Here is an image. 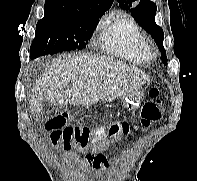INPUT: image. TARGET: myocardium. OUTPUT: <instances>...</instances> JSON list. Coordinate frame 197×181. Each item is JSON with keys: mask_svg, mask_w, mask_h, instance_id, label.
Returning a JSON list of instances; mask_svg holds the SVG:
<instances>
[{"mask_svg": "<svg viewBox=\"0 0 197 181\" xmlns=\"http://www.w3.org/2000/svg\"><path fill=\"white\" fill-rule=\"evenodd\" d=\"M147 50H148V55H149L150 59H152L156 56V52L148 45H147Z\"/></svg>", "mask_w": 197, "mask_h": 181, "instance_id": "obj_1", "label": "myocardium"}]
</instances>
